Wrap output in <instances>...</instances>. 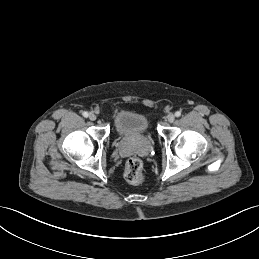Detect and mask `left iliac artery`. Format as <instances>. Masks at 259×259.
<instances>
[{
    "mask_svg": "<svg viewBox=\"0 0 259 259\" xmlns=\"http://www.w3.org/2000/svg\"><path fill=\"white\" fill-rule=\"evenodd\" d=\"M175 116L176 117H180L181 116V112L180 111L175 112Z\"/></svg>",
    "mask_w": 259,
    "mask_h": 259,
    "instance_id": "left-iliac-artery-1",
    "label": "left iliac artery"
}]
</instances>
